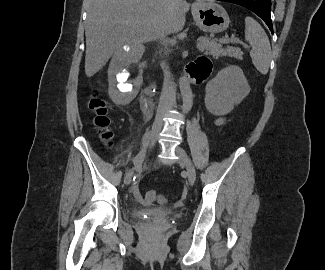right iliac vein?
Instances as JSON below:
<instances>
[{"label": "right iliac vein", "instance_id": "obj_1", "mask_svg": "<svg viewBox=\"0 0 325 270\" xmlns=\"http://www.w3.org/2000/svg\"><path fill=\"white\" fill-rule=\"evenodd\" d=\"M161 128H162V125L159 122L154 123V125L152 126V129L148 134V141H149L150 147H152L155 144ZM144 157H145V155L142 158H140L135 163V167L126 174V176L124 178L125 184H129L131 182L133 174H134V169H138L141 166V164L144 160Z\"/></svg>", "mask_w": 325, "mask_h": 270}]
</instances>
